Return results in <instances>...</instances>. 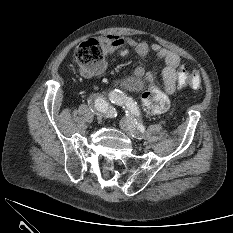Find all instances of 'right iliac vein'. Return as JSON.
<instances>
[{"mask_svg":"<svg viewBox=\"0 0 233 233\" xmlns=\"http://www.w3.org/2000/svg\"><path fill=\"white\" fill-rule=\"evenodd\" d=\"M103 115L102 114H100V113H97V121H98V123H101L102 121H103Z\"/></svg>","mask_w":233,"mask_h":233,"instance_id":"obj_1","label":"right iliac vein"}]
</instances>
